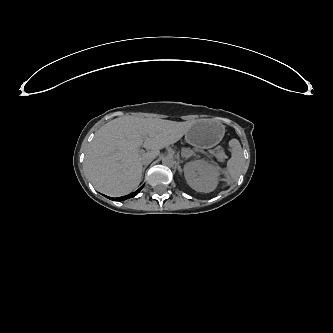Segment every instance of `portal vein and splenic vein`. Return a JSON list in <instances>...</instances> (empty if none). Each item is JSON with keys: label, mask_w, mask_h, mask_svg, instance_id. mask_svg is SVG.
Wrapping results in <instances>:
<instances>
[{"label": "portal vein and splenic vein", "mask_w": 333, "mask_h": 333, "mask_svg": "<svg viewBox=\"0 0 333 333\" xmlns=\"http://www.w3.org/2000/svg\"><path fill=\"white\" fill-rule=\"evenodd\" d=\"M140 153H141V154H144V153H145V151H144V150H140Z\"/></svg>", "instance_id": "obj_1"}]
</instances>
